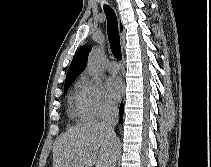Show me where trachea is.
<instances>
[{
    "mask_svg": "<svg viewBox=\"0 0 211 167\" xmlns=\"http://www.w3.org/2000/svg\"><path fill=\"white\" fill-rule=\"evenodd\" d=\"M104 12L107 18L108 38L111 51L117 60H121L122 54L116 14L109 5H104Z\"/></svg>",
    "mask_w": 211,
    "mask_h": 167,
    "instance_id": "obj_1",
    "label": "trachea"
}]
</instances>
